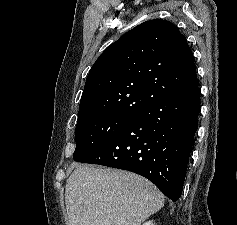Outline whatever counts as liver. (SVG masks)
<instances>
[{"mask_svg": "<svg viewBox=\"0 0 237 225\" xmlns=\"http://www.w3.org/2000/svg\"><path fill=\"white\" fill-rule=\"evenodd\" d=\"M164 200L142 176L83 164L65 187L69 225H141L164 206Z\"/></svg>", "mask_w": 237, "mask_h": 225, "instance_id": "obj_1", "label": "liver"}]
</instances>
